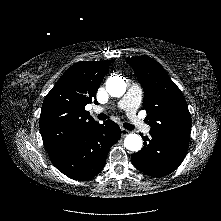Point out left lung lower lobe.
<instances>
[{"mask_svg":"<svg viewBox=\"0 0 221 221\" xmlns=\"http://www.w3.org/2000/svg\"><path fill=\"white\" fill-rule=\"evenodd\" d=\"M144 147L132 155L133 164L140 171L162 177L178 168L185 158L189 143L150 132V137L141 135Z\"/></svg>","mask_w":221,"mask_h":221,"instance_id":"obj_1","label":"left lung lower lobe"}]
</instances>
